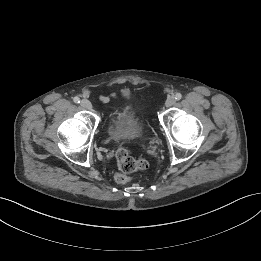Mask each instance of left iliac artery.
I'll list each match as a JSON object with an SVG mask.
<instances>
[{"mask_svg": "<svg viewBox=\"0 0 261 261\" xmlns=\"http://www.w3.org/2000/svg\"><path fill=\"white\" fill-rule=\"evenodd\" d=\"M181 98H182L181 93H176L175 99H176V100H180Z\"/></svg>", "mask_w": 261, "mask_h": 261, "instance_id": "obj_1", "label": "left iliac artery"}]
</instances>
